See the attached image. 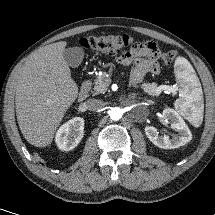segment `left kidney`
<instances>
[{
	"mask_svg": "<svg viewBox=\"0 0 215 215\" xmlns=\"http://www.w3.org/2000/svg\"><path fill=\"white\" fill-rule=\"evenodd\" d=\"M163 117L166 122L171 123V128L178 132L172 139L167 135H159L157 129L153 126L145 127V134L148 139L157 147L162 149L179 148L192 140V134L182 117L171 108L163 110Z\"/></svg>",
	"mask_w": 215,
	"mask_h": 215,
	"instance_id": "5707ae66",
	"label": "left kidney"
}]
</instances>
